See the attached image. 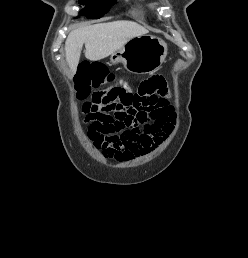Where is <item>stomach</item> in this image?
I'll use <instances>...</instances> for the list:
<instances>
[{"mask_svg": "<svg viewBox=\"0 0 248 258\" xmlns=\"http://www.w3.org/2000/svg\"><path fill=\"white\" fill-rule=\"evenodd\" d=\"M167 55L166 43L153 35L130 39L122 48L111 54L113 64L122 63L133 74L153 73L160 68Z\"/></svg>", "mask_w": 248, "mask_h": 258, "instance_id": "0dacf381", "label": "stomach"}]
</instances>
